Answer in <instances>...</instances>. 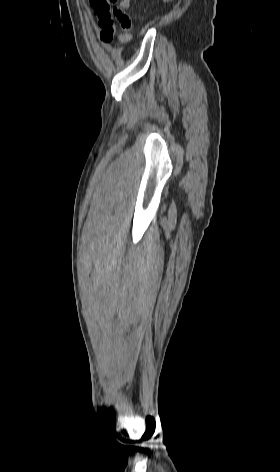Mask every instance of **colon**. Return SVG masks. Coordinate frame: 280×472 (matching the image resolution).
Instances as JSON below:
<instances>
[{"label":"colon","mask_w":280,"mask_h":472,"mask_svg":"<svg viewBox=\"0 0 280 472\" xmlns=\"http://www.w3.org/2000/svg\"><path fill=\"white\" fill-rule=\"evenodd\" d=\"M90 4L101 25L114 24L115 18L125 32L131 29V18L117 6V0H90Z\"/></svg>","instance_id":"obj_1"}]
</instances>
